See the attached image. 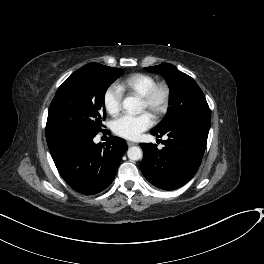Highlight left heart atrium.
I'll return each instance as SVG.
<instances>
[{
  "label": "left heart atrium",
  "instance_id": "39dd6f15",
  "mask_svg": "<svg viewBox=\"0 0 264 264\" xmlns=\"http://www.w3.org/2000/svg\"><path fill=\"white\" fill-rule=\"evenodd\" d=\"M153 125L151 115L144 112L140 115H122L117 118L112 125L113 131L120 137L126 139H136L142 132Z\"/></svg>",
  "mask_w": 264,
  "mask_h": 264
}]
</instances>
